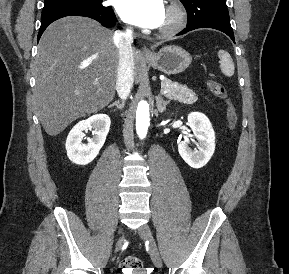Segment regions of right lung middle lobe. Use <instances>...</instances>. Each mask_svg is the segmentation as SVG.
Masks as SVG:
<instances>
[{"label":"right lung middle lobe","mask_w":289,"mask_h":274,"mask_svg":"<svg viewBox=\"0 0 289 274\" xmlns=\"http://www.w3.org/2000/svg\"><path fill=\"white\" fill-rule=\"evenodd\" d=\"M102 2L103 0H45L42 12L68 7H79L95 11H105L111 8L110 6H104Z\"/></svg>","instance_id":"dd1d6c3e"}]
</instances>
